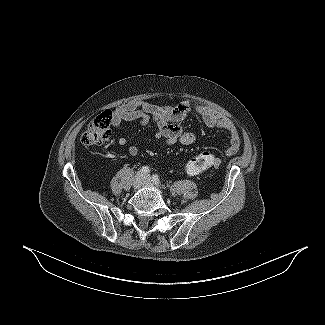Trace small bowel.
Segmentation results:
<instances>
[{
    "label": "small bowel",
    "instance_id": "c3829d8e",
    "mask_svg": "<svg viewBox=\"0 0 325 325\" xmlns=\"http://www.w3.org/2000/svg\"><path fill=\"white\" fill-rule=\"evenodd\" d=\"M191 111H195L209 127L223 129L229 133L230 145L226 151L228 154L239 150L240 137L234 124L220 113L204 106H195L190 101H184L177 105H157L145 101L128 103L116 109L112 125L119 128L124 121H137L143 127L153 122L157 125L155 134L157 138L164 139L170 145H191L196 142V135L185 131L181 125ZM118 144L126 146V138L120 137ZM127 152L135 156L139 153V149L131 145L127 147ZM216 163L215 159L214 165ZM191 164L192 162L189 160L183 170L193 176L196 174L188 173Z\"/></svg>",
    "mask_w": 325,
    "mask_h": 325
}]
</instances>
